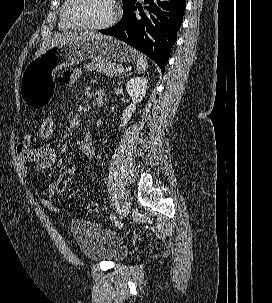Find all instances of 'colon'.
<instances>
[{
	"label": "colon",
	"instance_id": "1",
	"mask_svg": "<svg viewBox=\"0 0 272 303\" xmlns=\"http://www.w3.org/2000/svg\"><path fill=\"white\" fill-rule=\"evenodd\" d=\"M56 127L57 118L55 114L51 112L45 115L37 127V135L39 140L43 144H49L53 140ZM77 170V163L72 162L64 171H62L58 179L54 182L57 194H61L66 190L67 186L74 178ZM97 208L98 205L94 201L89 202L87 205V210L89 213H94Z\"/></svg>",
	"mask_w": 272,
	"mask_h": 303
}]
</instances>
